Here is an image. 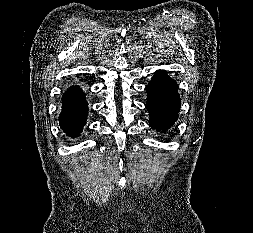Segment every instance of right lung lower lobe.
Instances as JSON below:
<instances>
[{"mask_svg":"<svg viewBox=\"0 0 253 233\" xmlns=\"http://www.w3.org/2000/svg\"><path fill=\"white\" fill-rule=\"evenodd\" d=\"M88 115L87 102L83 91L70 87L62 98V111L59 116L60 126L67 135L75 137L82 131Z\"/></svg>","mask_w":253,"mask_h":233,"instance_id":"1","label":"right lung lower lobe"}]
</instances>
